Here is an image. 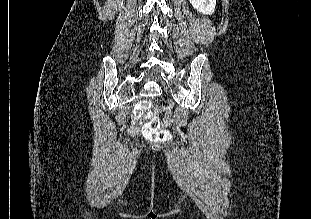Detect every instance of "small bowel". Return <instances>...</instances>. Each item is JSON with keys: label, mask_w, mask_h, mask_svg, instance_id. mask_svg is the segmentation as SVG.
Returning a JSON list of instances; mask_svg holds the SVG:
<instances>
[{"label": "small bowel", "mask_w": 311, "mask_h": 219, "mask_svg": "<svg viewBox=\"0 0 311 219\" xmlns=\"http://www.w3.org/2000/svg\"><path fill=\"white\" fill-rule=\"evenodd\" d=\"M162 111L167 113V110H166V109H162ZM164 124H165V125H168V124H169V119H168V118H166V119L164 120ZM130 131H131L132 133H135V132L138 131V117H133V119H132V124H131V127H130Z\"/></svg>", "instance_id": "c3829d8e"}]
</instances>
